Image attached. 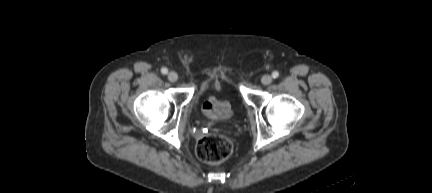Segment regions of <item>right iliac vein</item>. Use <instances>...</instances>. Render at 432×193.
<instances>
[{"label":"right iliac vein","instance_id":"obj_1","mask_svg":"<svg viewBox=\"0 0 432 193\" xmlns=\"http://www.w3.org/2000/svg\"><path fill=\"white\" fill-rule=\"evenodd\" d=\"M177 79H178V75H177L176 72H170V73L168 74V80H169L170 82H176Z\"/></svg>","mask_w":432,"mask_h":193}]
</instances>
